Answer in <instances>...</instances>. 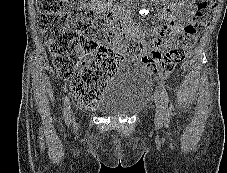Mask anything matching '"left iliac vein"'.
I'll return each instance as SVG.
<instances>
[{"instance_id":"obj_1","label":"left iliac vein","mask_w":227,"mask_h":173,"mask_svg":"<svg viewBox=\"0 0 227 173\" xmlns=\"http://www.w3.org/2000/svg\"><path fill=\"white\" fill-rule=\"evenodd\" d=\"M154 101L156 105V114H155L156 123L162 124L165 118V114L163 110L162 100L160 99L158 93L154 94Z\"/></svg>"}]
</instances>
